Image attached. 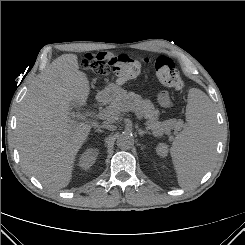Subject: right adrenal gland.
Listing matches in <instances>:
<instances>
[{"instance_id": "right-adrenal-gland-1", "label": "right adrenal gland", "mask_w": 245, "mask_h": 245, "mask_svg": "<svg viewBox=\"0 0 245 245\" xmlns=\"http://www.w3.org/2000/svg\"><path fill=\"white\" fill-rule=\"evenodd\" d=\"M96 132L100 133L103 132V130L100 129V127L96 130Z\"/></svg>"}]
</instances>
